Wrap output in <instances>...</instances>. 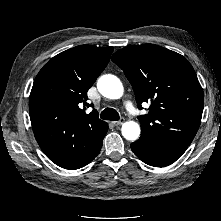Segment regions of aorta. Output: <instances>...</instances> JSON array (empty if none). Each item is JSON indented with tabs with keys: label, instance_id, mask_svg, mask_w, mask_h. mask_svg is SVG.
I'll return each mask as SVG.
<instances>
[{
	"label": "aorta",
	"instance_id": "aorta-1",
	"mask_svg": "<svg viewBox=\"0 0 221 221\" xmlns=\"http://www.w3.org/2000/svg\"><path fill=\"white\" fill-rule=\"evenodd\" d=\"M97 88L104 97L109 99H119L124 93L120 79L111 74L101 76L97 82ZM121 132L125 139L135 141L139 138L141 129L135 121H127L123 123Z\"/></svg>",
	"mask_w": 221,
	"mask_h": 221
}]
</instances>
